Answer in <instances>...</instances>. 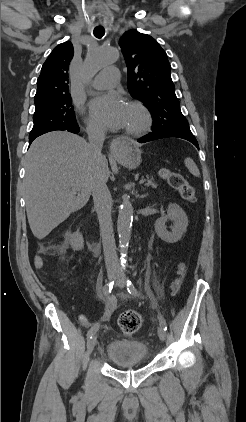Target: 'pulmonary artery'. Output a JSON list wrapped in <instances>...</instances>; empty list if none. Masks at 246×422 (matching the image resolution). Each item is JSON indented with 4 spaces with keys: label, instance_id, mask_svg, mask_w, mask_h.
<instances>
[{
    "label": "pulmonary artery",
    "instance_id": "obj_1",
    "mask_svg": "<svg viewBox=\"0 0 246 422\" xmlns=\"http://www.w3.org/2000/svg\"><path fill=\"white\" fill-rule=\"evenodd\" d=\"M119 80V70L116 67H108L102 70L92 81V87L105 89L113 87Z\"/></svg>",
    "mask_w": 246,
    "mask_h": 422
}]
</instances>
